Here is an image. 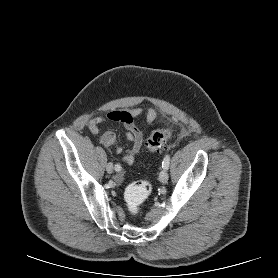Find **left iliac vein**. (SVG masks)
<instances>
[{"label": "left iliac vein", "mask_w": 278, "mask_h": 278, "mask_svg": "<svg viewBox=\"0 0 278 278\" xmlns=\"http://www.w3.org/2000/svg\"><path fill=\"white\" fill-rule=\"evenodd\" d=\"M168 172L166 169H163L159 174V180L161 183L165 184L168 181Z\"/></svg>", "instance_id": "obj_1"}]
</instances>
